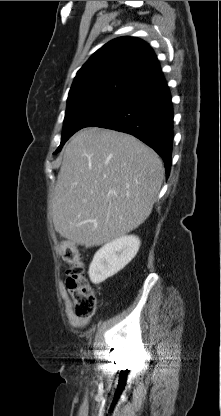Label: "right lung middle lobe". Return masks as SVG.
I'll return each instance as SVG.
<instances>
[{
	"instance_id": "obj_1",
	"label": "right lung middle lobe",
	"mask_w": 221,
	"mask_h": 416,
	"mask_svg": "<svg viewBox=\"0 0 221 416\" xmlns=\"http://www.w3.org/2000/svg\"><path fill=\"white\" fill-rule=\"evenodd\" d=\"M127 95L129 93L126 91H97L69 100L61 144L55 154L61 150L70 136L84 127L99 123Z\"/></svg>"
}]
</instances>
